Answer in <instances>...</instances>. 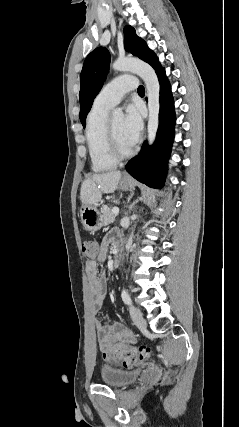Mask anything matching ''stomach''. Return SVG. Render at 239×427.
Returning a JSON list of instances; mask_svg holds the SVG:
<instances>
[{
  "mask_svg": "<svg viewBox=\"0 0 239 427\" xmlns=\"http://www.w3.org/2000/svg\"><path fill=\"white\" fill-rule=\"evenodd\" d=\"M134 186L133 181L122 180L119 184V188L125 191L134 188ZM80 216L84 228L89 232H96L103 226V216L95 206L84 205L80 211Z\"/></svg>",
  "mask_w": 239,
  "mask_h": 427,
  "instance_id": "stomach-1",
  "label": "stomach"
}]
</instances>
